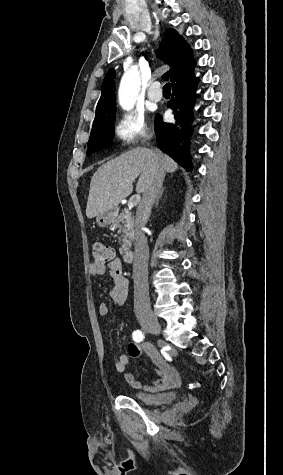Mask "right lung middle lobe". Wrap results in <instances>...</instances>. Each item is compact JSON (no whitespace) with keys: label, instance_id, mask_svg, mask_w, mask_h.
<instances>
[{"label":"right lung middle lobe","instance_id":"obj_1","mask_svg":"<svg viewBox=\"0 0 283 475\" xmlns=\"http://www.w3.org/2000/svg\"><path fill=\"white\" fill-rule=\"evenodd\" d=\"M116 107L100 106L96 108V115L88 141L87 156L110 147L114 134Z\"/></svg>","mask_w":283,"mask_h":475}]
</instances>
